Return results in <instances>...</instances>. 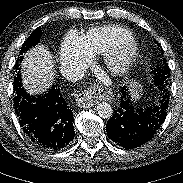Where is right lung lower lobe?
<instances>
[{"label":"right lung lower lobe","instance_id":"98d812e1","mask_svg":"<svg viewBox=\"0 0 183 183\" xmlns=\"http://www.w3.org/2000/svg\"><path fill=\"white\" fill-rule=\"evenodd\" d=\"M21 74L14 77V105L19 123L36 146L57 151L70 144L75 136L73 113L59 88L30 96L21 83Z\"/></svg>","mask_w":183,"mask_h":183}]
</instances>
